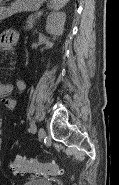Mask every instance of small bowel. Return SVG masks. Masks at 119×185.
<instances>
[{"mask_svg": "<svg viewBox=\"0 0 119 185\" xmlns=\"http://www.w3.org/2000/svg\"><path fill=\"white\" fill-rule=\"evenodd\" d=\"M18 33L14 30H7L2 32L0 37V48L1 50L8 51L11 50L14 44L17 42ZM17 89L19 91H23L26 84L24 80L17 81ZM12 93V86L7 83H1L0 85V96L2 102L6 106L8 110H13L17 105V98L11 96Z\"/></svg>", "mask_w": 119, "mask_h": 185, "instance_id": "c3829d8e", "label": "small bowel"}]
</instances>
